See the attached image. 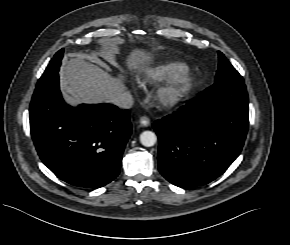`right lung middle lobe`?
I'll use <instances>...</instances> for the list:
<instances>
[{
    "label": "right lung middle lobe",
    "instance_id": "1",
    "mask_svg": "<svg viewBox=\"0 0 290 245\" xmlns=\"http://www.w3.org/2000/svg\"><path fill=\"white\" fill-rule=\"evenodd\" d=\"M63 52L64 50L61 49L59 50L55 56L53 57V59L50 61L49 65L47 66L46 70L44 71L43 75L41 76V78H45L47 76H51L54 75L56 73H58L59 71V67L61 64V59L63 57Z\"/></svg>",
    "mask_w": 290,
    "mask_h": 245
}]
</instances>
